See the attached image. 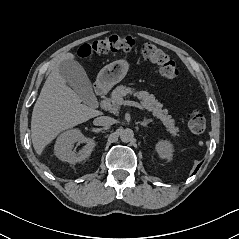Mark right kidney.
Returning a JSON list of instances; mask_svg holds the SVG:
<instances>
[{
	"label": "right kidney",
	"mask_w": 239,
	"mask_h": 239,
	"mask_svg": "<svg viewBox=\"0 0 239 239\" xmlns=\"http://www.w3.org/2000/svg\"><path fill=\"white\" fill-rule=\"evenodd\" d=\"M85 143L84 147L75 153L72 148L74 143ZM95 147L91 138L85 137L79 129H70L63 132L56 140L54 153L57 158L70 164H75L88 158Z\"/></svg>",
	"instance_id": "ca27d5eb"
}]
</instances>
